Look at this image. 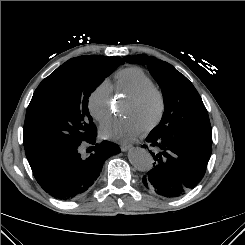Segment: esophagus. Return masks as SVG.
Masks as SVG:
<instances>
[{
	"mask_svg": "<svg viewBox=\"0 0 245 245\" xmlns=\"http://www.w3.org/2000/svg\"><path fill=\"white\" fill-rule=\"evenodd\" d=\"M130 147H131V145L130 144H126V143H122L120 145L121 151H123V152L127 151Z\"/></svg>",
	"mask_w": 245,
	"mask_h": 245,
	"instance_id": "esophagus-1",
	"label": "esophagus"
}]
</instances>
